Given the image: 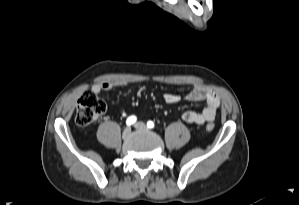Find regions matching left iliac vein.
I'll return each mask as SVG.
<instances>
[{"instance_id":"1","label":"left iliac vein","mask_w":299,"mask_h":205,"mask_svg":"<svg viewBox=\"0 0 299 205\" xmlns=\"http://www.w3.org/2000/svg\"><path fill=\"white\" fill-rule=\"evenodd\" d=\"M134 127L138 130H146L147 126L143 122H137Z\"/></svg>"}]
</instances>
